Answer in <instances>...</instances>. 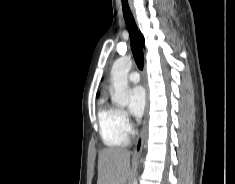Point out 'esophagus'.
Listing matches in <instances>:
<instances>
[{
	"label": "esophagus",
	"mask_w": 235,
	"mask_h": 184,
	"mask_svg": "<svg viewBox=\"0 0 235 184\" xmlns=\"http://www.w3.org/2000/svg\"><path fill=\"white\" fill-rule=\"evenodd\" d=\"M143 83H144L145 91H146V104H145V110H144V120H143L142 129H141V132L135 142V147H134V155L135 156L140 155L142 152L144 138H145V134H146V127H147V122H148L149 91H148L147 80H146V75H145V68L143 70Z\"/></svg>",
	"instance_id": "34e87169"
}]
</instances>
